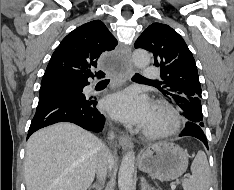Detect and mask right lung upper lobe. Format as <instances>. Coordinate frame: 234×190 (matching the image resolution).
<instances>
[{
  "label": "right lung upper lobe",
  "instance_id": "obj_1",
  "mask_svg": "<svg viewBox=\"0 0 234 190\" xmlns=\"http://www.w3.org/2000/svg\"><path fill=\"white\" fill-rule=\"evenodd\" d=\"M117 40L100 20L85 23L69 33L56 48L43 80L93 75L100 56L115 48ZM104 74L102 71L96 75Z\"/></svg>",
  "mask_w": 234,
  "mask_h": 190
}]
</instances>
